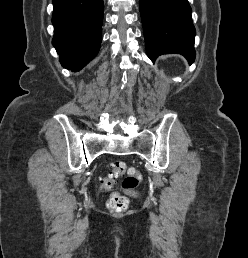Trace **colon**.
I'll return each mask as SVG.
<instances>
[{
  "label": "colon",
  "instance_id": "1",
  "mask_svg": "<svg viewBox=\"0 0 248 258\" xmlns=\"http://www.w3.org/2000/svg\"><path fill=\"white\" fill-rule=\"evenodd\" d=\"M120 178L122 179V187L132 190L140 184L142 174L125 162L117 161L110 165L108 173L100 179V185L102 188L110 190L114 188ZM108 207L114 212H123L129 207V199L120 193L113 192L108 198Z\"/></svg>",
  "mask_w": 248,
  "mask_h": 258
}]
</instances>
